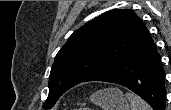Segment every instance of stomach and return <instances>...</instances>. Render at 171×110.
<instances>
[{
  "mask_svg": "<svg viewBox=\"0 0 171 110\" xmlns=\"http://www.w3.org/2000/svg\"><path fill=\"white\" fill-rule=\"evenodd\" d=\"M91 101L102 110H130L129 103L122 92L117 88H106L95 92Z\"/></svg>",
  "mask_w": 171,
  "mask_h": 110,
  "instance_id": "1",
  "label": "stomach"
}]
</instances>
